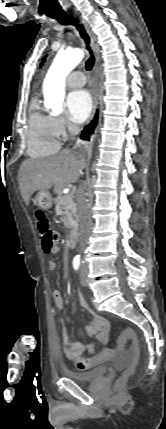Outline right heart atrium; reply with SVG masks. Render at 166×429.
<instances>
[{
    "mask_svg": "<svg viewBox=\"0 0 166 429\" xmlns=\"http://www.w3.org/2000/svg\"><path fill=\"white\" fill-rule=\"evenodd\" d=\"M51 124L56 136L58 137H63L68 132L74 130V128L61 116H51Z\"/></svg>",
    "mask_w": 166,
    "mask_h": 429,
    "instance_id": "d8ad5b80",
    "label": "right heart atrium"
}]
</instances>
